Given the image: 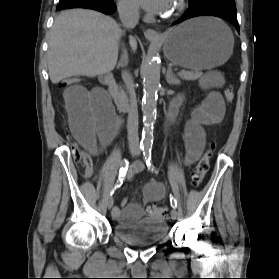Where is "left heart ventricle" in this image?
Masks as SVG:
<instances>
[{
    "instance_id": "obj_1",
    "label": "left heart ventricle",
    "mask_w": 279,
    "mask_h": 279,
    "mask_svg": "<svg viewBox=\"0 0 279 279\" xmlns=\"http://www.w3.org/2000/svg\"><path fill=\"white\" fill-rule=\"evenodd\" d=\"M174 7H175V0L172 1L171 5H170V7H169L168 12H169V11H172V10L174 9ZM168 12H167V13H168Z\"/></svg>"
}]
</instances>
